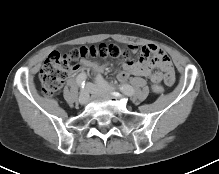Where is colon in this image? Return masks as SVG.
<instances>
[{
  "label": "colon",
  "instance_id": "1",
  "mask_svg": "<svg viewBox=\"0 0 219 174\" xmlns=\"http://www.w3.org/2000/svg\"><path fill=\"white\" fill-rule=\"evenodd\" d=\"M130 53L127 49L121 48L116 44H100L98 46L81 47L69 50L65 53L53 52L44 62L39 78L42 91L47 96H52L57 93L69 74L77 66L75 62L79 60H87L96 57H113L125 58L129 57ZM155 95L163 93L162 85L155 83L151 87Z\"/></svg>",
  "mask_w": 219,
  "mask_h": 174
}]
</instances>
